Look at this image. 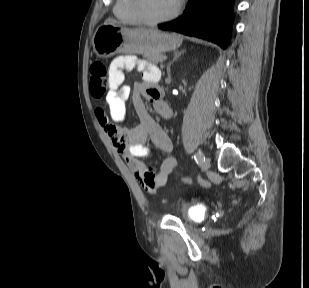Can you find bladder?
<instances>
[{"label":"bladder","instance_id":"obj_1","mask_svg":"<svg viewBox=\"0 0 309 288\" xmlns=\"http://www.w3.org/2000/svg\"><path fill=\"white\" fill-rule=\"evenodd\" d=\"M184 217L188 222L198 224L205 219L206 210L199 207H188L185 209Z\"/></svg>","mask_w":309,"mask_h":288}]
</instances>
